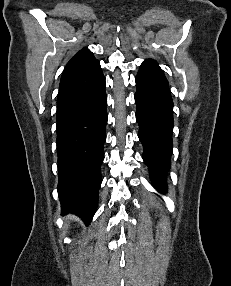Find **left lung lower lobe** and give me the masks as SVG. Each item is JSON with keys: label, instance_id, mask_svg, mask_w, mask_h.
I'll use <instances>...</instances> for the list:
<instances>
[{"label": "left lung lower lobe", "instance_id": "1", "mask_svg": "<svg viewBox=\"0 0 231 286\" xmlns=\"http://www.w3.org/2000/svg\"><path fill=\"white\" fill-rule=\"evenodd\" d=\"M136 85V119L143 159L155 187L163 192L167 189L166 173L172 153L173 101L168 81L155 61L146 60L140 66Z\"/></svg>", "mask_w": 231, "mask_h": 286}]
</instances>
